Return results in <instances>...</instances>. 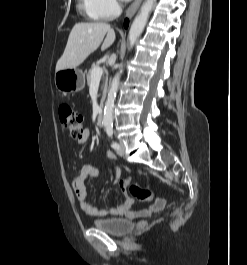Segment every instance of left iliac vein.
<instances>
[{
    "mask_svg": "<svg viewBox=\"0 0 247 265\" xmlns=\"http://www.w3.org/2000/svg\"><path fill=\"white\" fill-rule=\"evenodd\" d=\"M117 154L121 157H123L125 155V147L123 143H119V148H117L116 150Z\"/></svg>",
    "mask_w": 247,
    "mask_h": 265,
    "instance_id": "left-iliac-vein-1",
    "label": "left iliac vein"
}]
</instances>
